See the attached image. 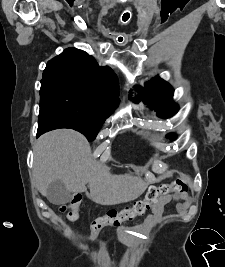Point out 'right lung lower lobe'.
Returning <instances> with one entry per match:
<instances>
[{"label": "right lung lower lobe", "instance_id": "98d812e1", "mask_svg": "<svg viewBox=\"0 0 225 267\" xmlns=\"http://www.w3.org/2000/svg\"><path fill=\"white\" fill-rule=\"evenodd\" d=\"M58 128H70V126L59 116L50 111H40L38 120L37 137L50 130Z\"/></svg>", "mask_w": 225, "mask_h": 267}]
</instances>
